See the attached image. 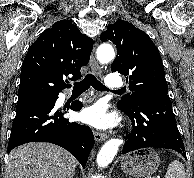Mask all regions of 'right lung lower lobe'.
<instances>
[{"label":"right lung lower lobe","mask_w":194,"mask_h":178,"mask_svg":"<svg viewBox=\"0 0 194 178\" xmlns=\"http://www.w3.org/2000/svg\"><path fill=\"white\" fill-rule=\"evenodd\" d=\"M57 99L58 96L17 103L8 153L24 143L50 142L68 150L85 167L94 145L93 133L88 126L63 118V113L54 109ZM82 106L75 101L70 108L79 111Z\"/></svg>","instance_id":"obj_1"}]
</instances>
